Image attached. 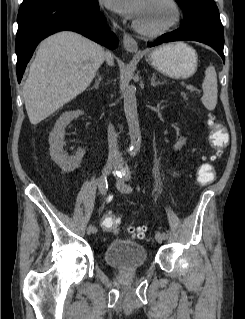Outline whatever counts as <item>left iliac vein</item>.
<instances>
[{"label": "left iliac vein", "instance_id": "4c4485c4", "mask_svg": "<svg viewBox=\"0 0 245 319\" xmlns=\"http://www.w3.org/2000/svg\"><path fill=\"white\" fill-rule=\"evenodd\" d=\"M129 179L128 176H124V177H120L117 179V188L121 191L126 192L125 190H123V184L125 183V181H127ZM156 240L158 243H162L166 238L162 235V233L160 232H156L155 234Z\"/></svg>", "mask_w": 245, "mask_h": 319}]
</instances>
